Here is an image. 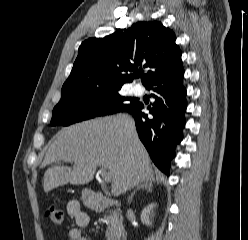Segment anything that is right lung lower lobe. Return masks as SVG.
Returning <instances> with one entry per match:
<instances>
[{
	"label": "right lung lower lobe",
	"mask_w": 248,
	"mask_h": 240,
	"mask_svg": "<svg viewBox=\"0 0 248 240\" xmlns=\"http://www.w3.org/2000/svg\"><path fill=\"white\" fill-rule=\"evenodd\" d=\"M184 69L169 78L148 86L155 99L150 115L145 114L144 105L136 102L122 112L131 114L135 120L139 138L146 147L154 164L169 174L170 162L175 157V148L183 138L185 126L186 88L182 84Z\"/></svg>",
	"instance_id": "right-lung-lower-lobe-1"
}]
</instances>
